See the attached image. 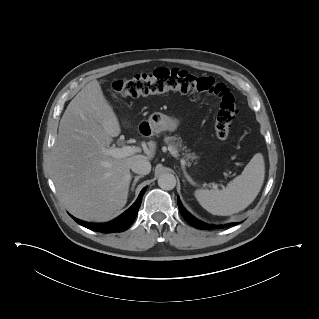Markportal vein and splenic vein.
Wrapping results in <instances>:
<instances>
[{"instance_id": "portal-vein-and-splenic-vein-1", "label": "portal vein and splenic vein", "mask_w": 319, "mask_h": 319, "mask_svg": "<svg viewBox=\"0 0 319 319\" xmlns=\"http://www.w3.org/2000/svg\"><path fill=\"white\" fill-rule=\"evenodd\" d=\"M169 151L171 152V154L173 156H177V151L174 150L171 146L169 147ZM102 152L106 155H109L113 158H125L128 156H132L133 154L139 152V148L135 147V146H123L122 148H106L103 149ZM182 163H184V161H182Z\"/></svg>"}]
</instances>
